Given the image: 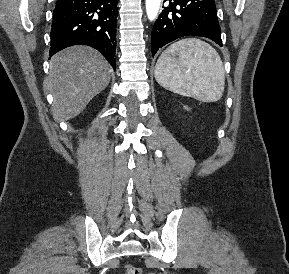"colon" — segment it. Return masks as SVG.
<instances>
[{
  "instance_id": "colon-1",
  "label": "colon",
  "mask_w": 289,
  "mask_h": 274,
  "mask_svg": "<svg viewBox=\"0 0 289 274\" xmlns=\"http://www.w3.org/2000/svg\"><path fill=\"white\" fill-rule=\"evenodd\" d=\"M125 274H142V269L135 265H127L125 268Z\"/></svg>"
}]
</instances>
